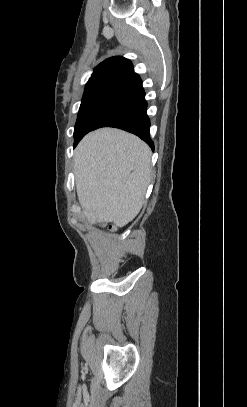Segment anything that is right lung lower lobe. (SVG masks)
I'll list each match as a JSON object with an SVG mask.
<instances>
[{"instance_id":"right-lung-lower-lobe-1","label":"right lung lower lobe","mask_w":247,"mask_h":407,"mask_svg":"<svg viewBox=\"0 0 247 407\" xmlns=\"http://www.w3.org/2000/svg\"><path fill=\"white\" fill-rule=\"evenodd\" d=\"M146 108L147 102L143 90L103 117L92 130L101 127L119 128L137 135L154 150V143L150 138V120L146 114Z\"/></svg>"}]
</instances>
